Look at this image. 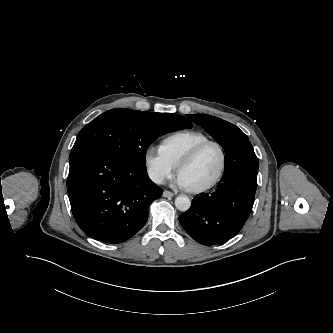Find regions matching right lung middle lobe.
I'll return each instance as SVG.
<instances>
[{"label": "right lung middle lobe", "mask_w": 333, "mask_h": 333, "mask_svg": "<svg viewBox=\"0 0 333 333\" xmlns=\"http://www.w3.org/2000/svg\"><path fill=\"white\" fill-rule=\"evenodd\" d=\"M192 124L177 114L150 116L131 109H112L88 123L78 134L73 147L93 145L129 164L146 168V151L159 136Z\"/></svg>", "instance_id": "right-lung-middle-lobe-1"}]
</instances>
